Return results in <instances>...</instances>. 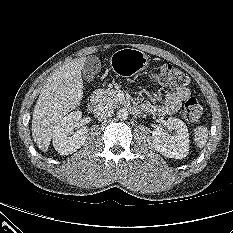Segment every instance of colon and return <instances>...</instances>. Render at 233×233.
<instances>
[{"instance_id": "obj_1", "label": "colon", "mask_w": 233, "mask_h": 233, "mask_svg": "<svg viewBox=\"0 0 233 233\" xmlns=\"http://www.w3.org/2000/svg\"><path fill=\"white\" fill-rule=\"evenodd\" d=\"M153 79L164 86L171 88H182L189 82L188 76L171 64L161 65L153 74ZM203 113V108L199 101L190 97L184 104L183 115L184 118L190 123L199 121Z\"/></svg>"}]
</instances>
